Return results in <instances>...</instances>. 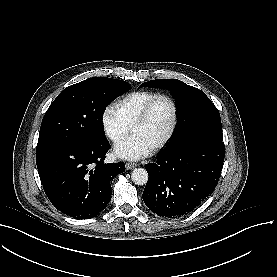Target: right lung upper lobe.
I'll return each mask as SVG.
<instances>
[{"instance_id": "1", "label": "right lung upper lobe", "mask_w": 277, "mask_h": 277, "mask_svg": "<svg viewBox=\"0 0 277 277\" xmlns=\"http://www.w3.org/2000/svg\"><path fill=\"white\" fill-rule=\"evenodd\" d=\"M107 79H111V78H107ZM112 80H116V81H119V82L127 83V82H125L123 80H117V79H112Z\"/></svg>"}]
</instances>
